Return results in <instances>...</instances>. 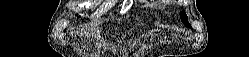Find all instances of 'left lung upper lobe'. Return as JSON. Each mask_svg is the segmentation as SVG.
Listing matches in <instances>:
<instances>
[{"label": "left lung upper lobe", "mask_w": 249, "mask_h": 57, "mask_svg": "<svg viewBox=\"0 0 249 57\" xmlns=\"http://www.w3.org/2000/svg\"><path fill=\"white\" fill-rule=\"evenodd\" d=\"M180 17H181L182 22H183L185 25L191 27L190 24L188 23L187 16H186L185 12H181V13H180Z\"/></svg>", "instance_id": "obj_1"}]
</instances>
